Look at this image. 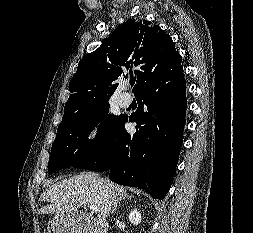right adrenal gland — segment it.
Wrapping results in <instances>:
<instances>
[{
    "label": "right adrenal gland",
    "mask_w": 253,
    "mask_h": 233,
    "mask_svg": "<svg viewBox=\"0 0 253 233\" xmlns=\"http://www.w3.org/2000/svg\"><path fill=\"white\" fill-rule=\"evenodd\" d=\"M130 198H132V196L127 195V196L121 198L120 200H118V201L114 204V206L112 207L111 213L113 214V213L116 211L118 205L122 202V200L130 199Z\"/></svg>",
    "instance_id": "2a0ac1e0"
}]
</instances>
